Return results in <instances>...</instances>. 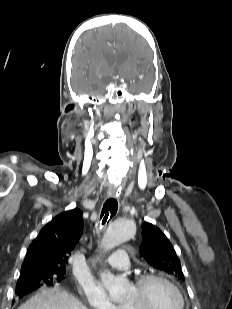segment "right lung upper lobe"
Segmentation results:
<instances>
[{
  "instance_id": "cb5924a9",
  "label": "right lung upper lobe",
  "mask_w": 232,
  "mask_h": 309,
  "mask_svg": "<svg viewBox=\"0 0 232 309\" xmlns=\"http://www.w3.org/2000/svg\"><path fill=\"white\" fill-rule=\"evenodd\" d=\"M82 229V213L78 208L57 215L29 246L21 272L66 271L68 255L81 237Z\"/></svg>"
}]
</instances>
